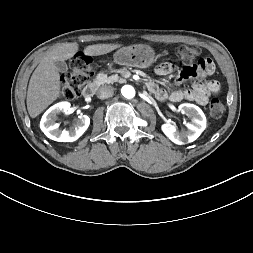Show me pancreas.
Wrapping results in <instances>:
<instances>
[{"instance_id": "pancreas-1", "label": "pancreas", "mask_w": 253, "mask_h": 253, "mask_svg": "<svg viewBox=\"0 0 253 253\" xmlns=\"http://www.w3.org/2000/svg\"><path fill=\"white\" fill-rule=\"evenodd\" d=\"M117 81H123V79H119L118 77H114V76H107V74H104V73H99L94 82L98 85H101V84H113L114 82H117Z\"/></svg>"}]
</instances>
